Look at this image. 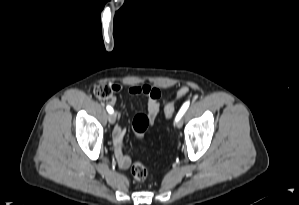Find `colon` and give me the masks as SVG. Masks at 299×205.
Listing matches in <instances>:
<instances>
[{
  "label": "colon",
  "instance_id": "1",
  "mask_svg": "<svg viewBox=\"0 0 299 205\" xmlns=\"http://www.w3.org/2000/svg\"><path fill=\"white\" fill-rule=\"evenodd\" d=\"M114 87L110 84L101 83L95 86L94 88V94L95 96L105 102L112 103L114 100ZM190 92V89L188 87H182L179 89V91L176 94V99L182 98L186 95H188ZM175 110V101H171L167 104L165 108V118L169 119ZM149 120L145 114H137L132 122L133 130L135 133V136L138 139H141L143 137L144 132L148 128ZM131 176L133 179L137 182H143L146 180L148 176V171L146 167L140 163L135 162L131 166L130 170Z\"/></svg>",
  "mask_w": 299,
  "mask_h": 205
}]
</instances>
